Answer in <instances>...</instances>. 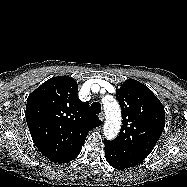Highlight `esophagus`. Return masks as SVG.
Returning <instances> with one entry per match:
<instances>
[{
	"mask_svg": "<svg viewBox=\"0 0 187 187\" xmlns=\"http://www.w3.org/2000/svg\"><path fill=\"white\" fill-rule=\"evenodd\" d=\"M98 117H99V119H100L101 121H104V119H105V114H104L103 112H101V113L98 115Z\"/></svg>",
	"mask_w": 187,
	"mask_h": 187,
	"instance_id": "esophagus-1",
	"label": "esophagus"
}]
</instances>
